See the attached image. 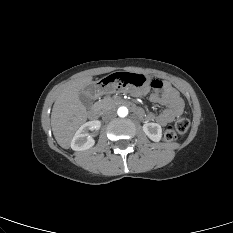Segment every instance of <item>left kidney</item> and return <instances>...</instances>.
I'll return each instance as SVG.
<instances>
[{
	"mask_svg": "<svg viewBox=\"0 0 233 233\" xmlns=\"http://www.w3.org/2000/svg\"><path fill=\"white\" fill-rule=\"evenodd\" d=\"M143 131L154 142H159L162 138V128L157 123H145Z\"/></svg>",
	"mask_w": 233,
	"mask_h": 233,
	"instance_id": "left-kidney-1",
	"label": "left kidney"
}]
</instances>
